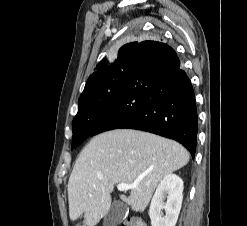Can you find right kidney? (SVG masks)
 Listing matches in <instances>:
<instances>
[{"instance_id": "1", "label": "right kidney", "mask_w": 247, "mask_h": 226, "mask_svg": "<svg viewBox=\"0 0 247 226\" xmlns=\"http://www.w3.org/2000/svg\"><path fill=\"white\" fill-rule=\"evenodd\" d=\"M183 188V181L176 174L166 175L162 179L150 204L151 226H175L182 205ZM165 197L166 203H164Z\"/></svg>"}]
</instances>
